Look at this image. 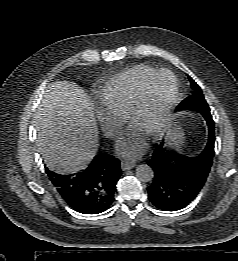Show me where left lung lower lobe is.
<instances>
[{
    "instance_id": "obj_1",
    "label": "left lung lower lobe",
    "mask_w": 238,
    "mask_h": 261,
    "mask_svg": "<svg viewBox=\"0 0 238 261\" xmlns=\"http://www.w3.org/2000/svg\"><path fill=\"white\" fill-rule=\"evenodd\" d=\"M200 112L208 124L209 138L206 148L197 156H169L163 144L158 146L148 165L154 178L147 188L148 198L157 208L177 211L186 207L202 189L214 156L215 126L210 111Z\"/></svg>"
}]
</instances>
